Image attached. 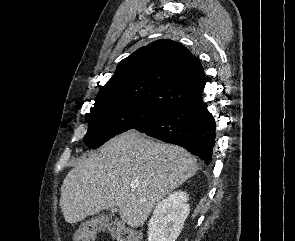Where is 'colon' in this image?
Wrapping results in <instances>:
<instances>
[{"label":"colon","instance_id":"5ec220e1","mask_svg":"<svg viewBox=\"0 0 295 241\" xmlns=\"http://www.w3.org/2000/svg\"><path fill=\"white\" fill-rule=\"evenodd\" d=\"M107 226L111 231L113 237L117 241H137V238L130 228L125 226L122 222L118 220H108ZM94 229L83 228L77 233L76 241H89L94 234Z\"/></svg>","mask_w":295,"mask_h":241}]
</instances>
